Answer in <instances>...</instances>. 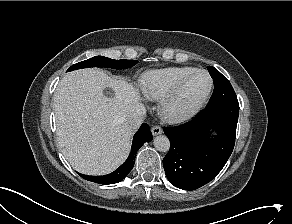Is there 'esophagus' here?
<instances>
[{"mask_svg":"<svg viewBox=\"0 0 292 224\" xmlns=\"http://www.w3.org/2000/svg\"><path fill=\"white\" fill-rule=\"evenodd\" d=\"M151 132H152V134H153L154 136H156V135H159V134L162 133V129H161L160 126L155 125V126L152 127Z\"/></svg>","mask_w":292,"mask_h":224,"instance_id":"1","label":"esophagus"}]
</instances>
